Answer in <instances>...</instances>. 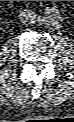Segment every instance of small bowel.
<instances>
[{
    "label": "small bowel",
    "mask_w": 74,
    "mask_h": 122,
    "mask_svg": "<svg viewBox=\"0 0 74 122\" xmlns=\"http://www.w3.org/2000/svg\"><path fill=\"white\" fill-rule=\"evenodd\" d=\"M48 11H47V14H48V16L49 17H56V9H54V8H49V9H47Z\"/></svg>",
    "instance_id": "c3829d8e"
}]
</instances>
